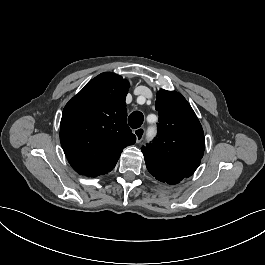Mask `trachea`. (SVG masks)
Listing matches in <instances>:
<instances>
[{
    "label": "trachea",
    "mask_w": 265,
    "mask_h": 265,
    "mask_svg": "<svg viewBox=\"0 0 265 265\" xmlns=\"http://www.w3.org/2000/svg\"><path fill=\"white\" fill-rule=\"evenodd\" d=\"M144 117L143 114L139 111H135L130 114L128 117V124L131 128L136 129L139 128L143 123Z\"/></svg>",
    "instance_id": "3493384b"
}]
</instances>
